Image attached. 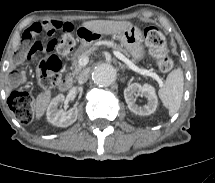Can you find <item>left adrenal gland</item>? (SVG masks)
I'll use <instances>...</instances> for the list:
<instances>
[{
    "instance_id": "1",
    "label": "left adrenal gland",
    "mask_w": 215,
    "mask_h": 183,
    "mask_svg": "<svg viewBox=\"0 0 215 183\" xmlns=\"http://www.w3.org/2000/svg\"><path fill=\"white\" fill-rule=\"evenodd\" d=\"M119 66H120V68H121L122 70H124L125 68L128 69V67H127L126 65H124V64H119Z\"/></svg>"
}]
</instances>
